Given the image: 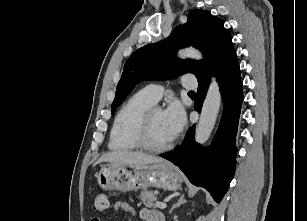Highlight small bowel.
Masks as SVG:
<instances>
[{
    "mask_svg": "<svg viewBox=\"0 0 307 221\" xmlns=\"http://www.w3.org/2000/svg\"><path fill=\"white\" fill-rule=\"evenodd\" d=\"M115 211H121L126 215L128 221H132V217L136 214V209L128 203H116L114 206ZM140 216L145 221H164L163 215L156 210L142 209L140 210ZM91 221H101L100 216L95 215Z\"/></svg>",
    "mask_w": 307,
    "mask_h": 221,
    "instance_id": "c3829d8e",
    "label": "small bowel"
}]
</instances>
